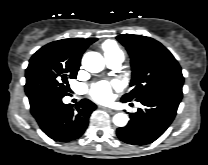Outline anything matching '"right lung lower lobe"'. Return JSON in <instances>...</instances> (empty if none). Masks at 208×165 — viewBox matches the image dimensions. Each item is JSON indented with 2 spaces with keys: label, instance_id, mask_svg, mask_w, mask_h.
I'll return each mask as SVG.
<instances>
[{
  "label": "right lung lower lobe",
  "instance_id": "98d812e1",
  "mask_svg": "<svg viewBox=\"0 0 208 165\" xmlns=\"http://www.w3.org/2000/svg\"><path fill=\"white\" fill-rule=\"evenodd\" d=\"M62 98L52 96L41 99L30 105V110L47 136L54 141L69 142L85 132L96 105L88 99H82L74 107L64 104Z\"/></svg>",
  "mask_w": 208,
  "mask_h": 165
}]
</instances>
